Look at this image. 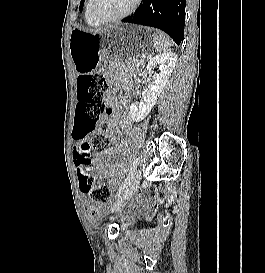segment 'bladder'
Listing matches in <instances>:
<instances>
[{
    "label": "bladder",
    "instance_id": "1",
    "mask_svg": "<svg viewBox=\"0 0 265 273\" xmlns=\"http://www.w3.org/2000/svg\"><path fill=\"white\" fill-rule=\"evenodd\" d=\"M114 221L118 224L120 230H126L130 225V222L122 216H115Z\"/></svg>",
    "mask_w": 265,
    "mask_h": 273
}]
</instances>
